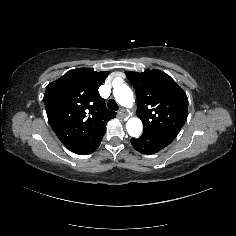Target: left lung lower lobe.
Wrapping results in <instances>:
<instances>
[{
    "label": "left lung lower lobe",
    "mask_w": 236,
    "mask_h": 236,
    "mask_svg": "<svg viewBox=\"0 0 236 236\" xmlns=\"http://www.w3.org/2000/svg\"><path fill=\"white\" fill-rule=\"evenodd\" d=\"M175 137L143 132L142 136L138 139L132 138V146L142 154H154L169 145Z\"/></svg>",
    "instance_id": "1"
}]
</instances>
